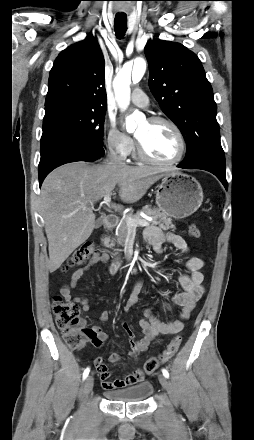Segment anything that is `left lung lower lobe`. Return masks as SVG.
I'll return each mask as SVG.
<instances>
[{"label":"left lung lower lobe","instance_id":"obj_1","mask_svg":"<svg viewBox=\"0 0 254 440\" xmlns=\"http://www.w3.org/2000/svg\"><path fill=\"white\" fill-rule=\"evenodd\" d=\"M177 167L183 169H202L209 171L214 175H216L227 189L228 184L225 176V169H226L225 163H222L221 161L215 158H203L188 164H184L183 162H181L180 164L177 165Z\"/></svg>","mask_w":254,"mask_h":440}]
</instances>
